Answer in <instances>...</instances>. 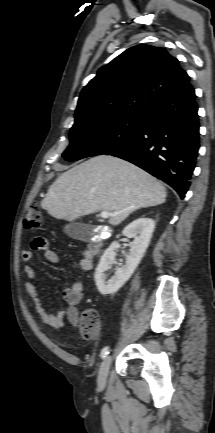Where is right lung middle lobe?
<instances>
[{
  "mask_svg": "<svg viewBox=\"0 0 215 433\" xmlns=\"http://www.w3.org/2000/svg\"><path fill=\"white\" fill-rule=\"evenodd\" d=\"M143 115H126L90 123H76L70 129V145L63 153L67 161L106 154L130 143L139 134Z\"/></svg>",
  "mask_w": 215,
  "mask_h": 433,
  "instance_id": "dd1d6c3e",
  "label": "right lung middle lobe"
}]
</instances>
